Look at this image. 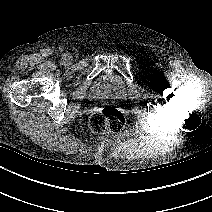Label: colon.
Returning <instances> with one entry per match:
<instances>
[{"label":"colon","mask_w":212,"mask_h":212,"mask_svg":"<svg viewBox=\"0 0 212 212\" xmlns=\"http://www.w3.org/2000/svg\"><path fill=\"white\" fill-rule=\"evenodd\" d=\"M126 119L121 111L114 107H104L94 111L89 117V126L94 132H120Z\"/></svg>","instance_id":"1"}]
</instances>
